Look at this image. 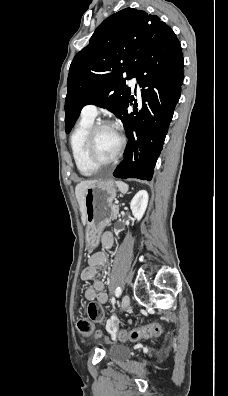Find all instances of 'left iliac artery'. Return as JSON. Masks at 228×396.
<instances>
[{
    "label": "left iliac artery",
    "mask_w": 228,
    "mask_h": 396,
    "mask_svg": "<svg viewBox=\"0 0 228 396\" xmlns=\"http://www.w3.org/2000/svg\"><path fill=\"white\" fill-rule=\"evenodd\" d=\"M121 293H122V289H121L120 286H118V287L116 288V291H115V296H116V297H119V296L121 295Z\"/></svg>",
    "instance_id": "1"
}]
</instances>
